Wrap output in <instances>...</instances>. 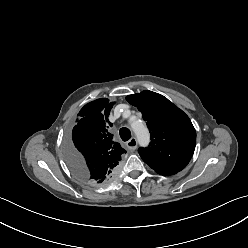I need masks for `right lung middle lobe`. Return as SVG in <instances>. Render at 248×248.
I'll list each match as a JSON object with an SVG mask.
<instances>
[{"label": "right lung middle lobe", "mask_w": 248, "mask_h": 248, "mask_svg": "<svg viewBox=\"0 0 248 248\" xmlns=\"http://www.w3.org/2000/svg\"><path fill=\"white\" fill-rule=\"evenodd\" d=\"M73 150H72V146L71 143H67L65 146V157L67 160V163L69 164L71 170L73 171Z\"/></svg>", "instance_id": "dd1d6c3e"}]
</instances>
